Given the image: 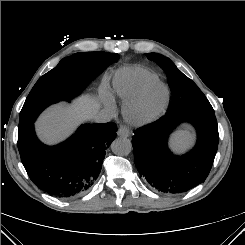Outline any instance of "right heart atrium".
I'll return each mask as SVG.
<instances>
[{"label": "right heart atrium", "instance_id": "1", "mask_svg": "<svg viewBox=\"0 0 245 245\" xmlns=\"http://www.w3.org/2000/svg\"><path fill=\"white\" fill-rule=\"evenodd\" d=\"M104 104H105V107L109 110V111H114L115 109V106H114V103L112 102L111 99L109 98H106L105 101H104Z\"/></svg>", "mask_w": 245, "mask_h": 245}]
</instances>
